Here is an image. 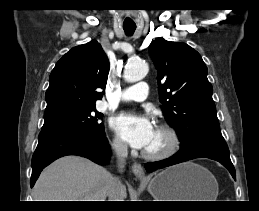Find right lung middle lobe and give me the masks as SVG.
Returning a JSON list of instances; mask_svg holds the SVG:
<instances>
[{
  "instance_id": "obj_1",
  "label": "right lung middle lobe",
  "mask_w": 259,
  "mask_h": 211,
  "mask_svg": "<svg viewBox=\"0 0 259 211\" xmlns=\"http://www.w3.org/2000/svg\"><path fill=\"white\" fill-rule=\"evenodd\" d=\"M103 114L96 111L95 107L50 123H44L42 131L52 130H77L85 132H100L104 125L99 120Z\"/></svg>"
}]
</instances>
